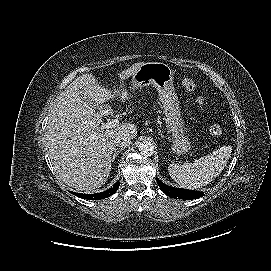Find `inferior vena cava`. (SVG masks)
<instances>
[{
  "label": "inferior vena cava",
  "mask_w": 271,
  "mask_h": 271,
  "mask_svg": "<svg viewBox=\"0 0 271 271\" xmlns=\"http://www.w3.org/2000/svg\"><path fill=\"white\" fill-rule=\"evenodd\" d=\"M113 142L116 146L125 148L132 143V137L129 133L122 132L114 137Z\"/></svg>",
  "instance_id": "inferior-vena-cava-1"
}]
</instances>
